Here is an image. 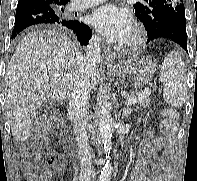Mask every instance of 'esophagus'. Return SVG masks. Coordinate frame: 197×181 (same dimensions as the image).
Returning <instances> with one entry per match:
<instances>
[{"label":"esophagus","mask_w":197,"mask_h":181,"mask_svg":"<svg viewBox=\"0 0 197 181\" xmlns=\"http://www.w3.org/2000/svg\"><path fill=\"white\" fill-rule=\"evenodd\" d=\"M105 63L110 68L116 67V55L110 50H105Z\"/></svg>","instance_id":"obj_1"}]
</instances>
